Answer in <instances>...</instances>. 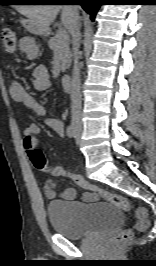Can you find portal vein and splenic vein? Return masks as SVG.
Instances as JSON below:
<instances>
[{
  "label": "portal vein and splenic vein",
  "mask_w": 156,
  "mask_h": 266,
  "mask_svg": "<svg viewBox=\"0 0 156 266\" xmlns=\"http://www.w3.org/2000/svg\"><path fill=\"white\" fill-rule=\"evenodd\" d=\"M58 35H59L60 37H62V38H66V37H67V32H66L65 29L60 28V29L58 30Z\"/></svg>",
  "instance_id": "18ae733b"
}]
</instances>
